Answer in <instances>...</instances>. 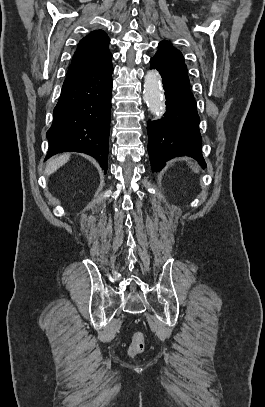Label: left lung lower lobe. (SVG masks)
Segmentation results:
<instances>
[{"mask_svg": "<svg viewBox=\"0 0 265 407\" xmlns=\"http://www.w3.org/2000/svg\"><path fill=\"white\" fill-rule=\"evenodd\" d=\"M150 64L151 68L160 72L166 92L164 117L148 121V152L152 171H160L166 161L184 155L206 167L201 152L200 118L189 79L173 73L155 58H151Z\"/></svg>", "mask_w": 265, "mask_h": 407, "instance_id": "obj_1", "label": "left lung lower lobe"}]
</instances>
